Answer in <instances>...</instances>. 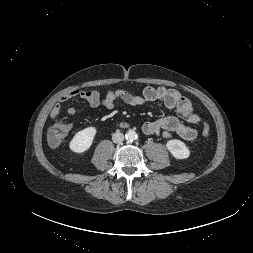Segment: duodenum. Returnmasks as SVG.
Returning a JSON list of instances; mask_svg holds the SVG:
<instances>
[{
    "instance_id": "410a0bca",
    "label": "duodenum",
    "mask_w": 253,
    "mask_h": 253,
    "mask_svg": "<svg viewBox=\"0 0 253 253\" xmlns=\"http://www.w3.org/2000/svg\"><path fill=\"white\" fill-rule=\"evenodd\" d=\"M120 126H121V127H127L128 124H127L126 122H122V123H120Z\"/></svg>"
}]
</instances>
